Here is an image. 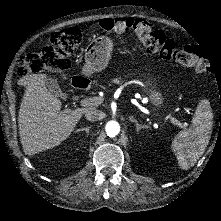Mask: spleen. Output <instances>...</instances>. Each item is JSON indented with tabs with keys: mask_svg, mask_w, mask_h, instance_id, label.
Segmentation results:
<instances>
[{
	"mask_svg": "<svg viewBox=\"0 0 221 221\" xmlns=\"http://www.w3.org/2000/svg\"><path fill=\"white\" fill-rule=\"evenodd\" d=\"M213 127V114L209 101L204 100L196 108L189 128L180 131L171 148L183 170L193 167L208 146Z\"/></svg>",
	"mask_w": 221,
	"mask_h": 221,
	"instance_id": "spleen-1",
	"label": "spleen"
}]
</instances>
